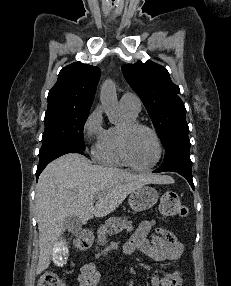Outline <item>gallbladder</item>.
Masks as SVG:
<instances>
[{"label": "gallbladder", "mask_w": 231, "mask_h": 286, "mask_svg": "<svg viewBox=\"0 0 231 286\" xmlns=\"http://www.w3.org/2000/svg\"><path fill=\"white\" fill-rule=\"evenodd\" d=\"M81 220L80 217H77V214L71 213L68 214V217L65 219V221L61 225V230H69L70 232H79L81 229ZM55 247L52 252V258L53 263L57 265L58 267H63L66 263V259L68 256V248L66 247V241L65 240H55Z\"/></svg>", "instance_id": "1"}]
</instances>
